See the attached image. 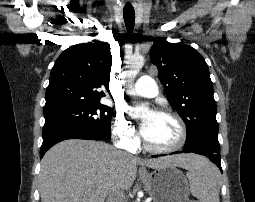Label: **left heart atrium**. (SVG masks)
Listing matches in <instances>:
<instances>
[{"instance_id":"39dd6f15","label":"left heart atrium","mask_w":255,"mask_h":202,"mask_svg":"<svg viewBox=\"0 0 255 202\" xmlns=\"http://www.w3.org/2000/svg\"><path fill=\"white\" fill-rule=\"evenodd\" d=\"M145 127H146V122L143 121V122H142V127H141V128H142V132H143V130L145 129Z\"/></svg>"}]
</instances>
